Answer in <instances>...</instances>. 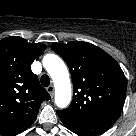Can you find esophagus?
Returning a JSON list of instances; mask_svg holds the SVG:
<instances>
[{
	"label": "esophagus",
	"instance_id": "1",
	"mask_svg": "<svg viewBox=\"0 0 136 136\" xmlns=\"http://www.w3.org/2000/svg\"><path fill=\"white\" fill-rule=\"evenodd\" d=\"M47 91L50 94V96L53 97V95H54V86L53 85H49L47 87Z\"/></svg>",
	"mask_w": 136,
	"mask_h": 136
}]
</instances>
